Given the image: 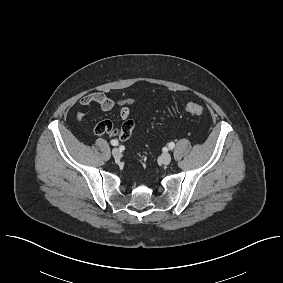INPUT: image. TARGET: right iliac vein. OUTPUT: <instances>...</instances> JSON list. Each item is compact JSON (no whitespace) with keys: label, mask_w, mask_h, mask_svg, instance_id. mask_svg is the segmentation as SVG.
<instances>
[{"label":"right iliac vein","mask_w":283,"mask_h":283,"mask_svg":"<svg viewBox=\"0 0 283 283\" xmlns=\"http://www.w3.org/2000/svg\"><path fill=\"white\" fill-rule=\"evenodd\" d=\"M112 155L115 159H120L121 158V152L118 148H113L112 149Z\"/></svg>","instance_id":"obj_1"}]
</instances>
